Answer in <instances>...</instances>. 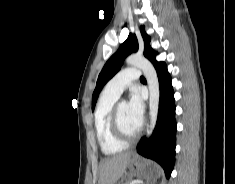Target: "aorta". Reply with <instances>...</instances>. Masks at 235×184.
Wrapping results in <instances>:
<instances>
[{
	"mask_svg": "<svg viewBox=\"0 0 235 184\" xmlns=\"http://www.w3.org/2000/svg\"><path fill=\"white\" fill-rule=\"evenodd\" d=\"M126 64L132 66V68H140L148 82L150 126L146 132V136L147 138H150L156 126L159 110L160 90L156 70H154L149 60H146L143 56H136V54L128 56ZM122 104H125V102H122Z\"/></svg>",
	"mask_w": 235,
	"mask_h": 184,
	"instance_id": "obj_1",
	"label": "aorta"
}]
</instances>
